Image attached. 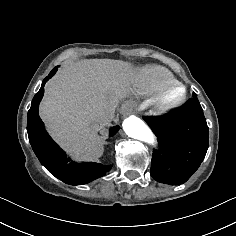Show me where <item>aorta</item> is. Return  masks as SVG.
I'll use <instances>...</instances> for the list:
<instances>
[{
  "label": "aorta",
  "mask_w": 236,
  "mask_h": 236,
  "mask_svg": "<svg viewBox=\"0 0 236 236\" xmlns=\"http://www.w3.org/2000/svg\"><path fill=\"white\" fill-rule=\"evenodd\" d=\"M122 127L129 137L152 145L155 150L161 154V148L159 147V143L156 141L155 135L140 118L130 116L123 121Z\"/></svg>",
  "instance_id": "762f6f07"
}]
</instances>
